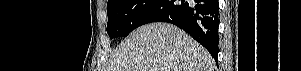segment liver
<instances>
[{
	"label": "liver",
	"instance_id": "1",
	"mask_svg": "<svg viewBox=\"0 0 301 71\" xmlns=\"http://www.w3.org/2000/svg\"><path fill=\"white\" fill-rule=\"evenodd\" d=\"M103 71H214V60L176 26L152 23L125 38Z\"/></svg>",
	"mask_w": 301,
	"mask_h": 71
}]
</instances>
